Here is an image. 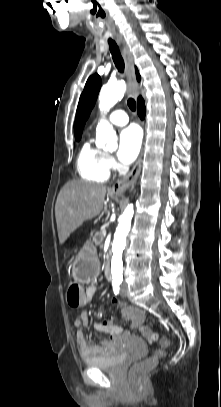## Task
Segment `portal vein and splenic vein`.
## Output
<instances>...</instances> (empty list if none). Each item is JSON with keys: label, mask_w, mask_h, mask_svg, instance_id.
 Instances as JSON below:
<instances>
[{"label": "portal vein and splenic vein", "mask_w": 221, "mask_h": 407, "mask_svg": "<svg viewBox=\"0 0 221 407\" xmlns=\"http://www.w3.org/2000/svg\"><path fill=\"white\" fill-rule=\"evenodd\" d=\"M103 234H104V236H106V231H104V233H103Z\"/></svg>", "instance_id": "obj_1"}]
</instances>
